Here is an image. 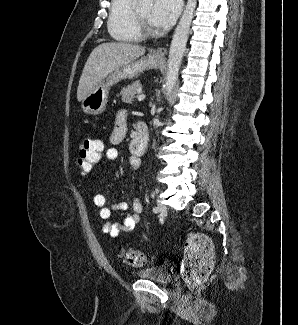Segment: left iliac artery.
<instances>
[{
  "label": "left iliac artery",
  "mask_w": 298,
  "mask_h": 325,
  "mask_svg": "<svg viewBox=\"0 0 298 325\" xmlns=\"http://www.w3.org/2000/svg\"><path fill=\"white\" fill-rule=\"evenodd\" d=\"M153 212H154V213H158V208H157V207H154V208H153Z\"/></svg>",
  "instance_id": "1"
}]
</instances>
